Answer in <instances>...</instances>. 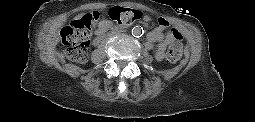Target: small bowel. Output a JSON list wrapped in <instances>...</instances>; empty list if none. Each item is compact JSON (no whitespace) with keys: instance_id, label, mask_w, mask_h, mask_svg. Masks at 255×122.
I'll use <instances>...</instances> for the list:
<instances>
[{"instance_id":"obj_1","label":"small bowel","mask_w":255,"mask_h":122,"mask_svg":"<svg viewBox=\"0 0 255 122\" xmlns=\"http://www.w3.org/2000/svg\"><path fill=\"white\" fill-rule=\"evenodd\" d=\"M150 20L151 19L149 17H146L145 19L146 22H149ZM162 22L166 23V26H163ZM167 27L168 22L165 19L160 18L158 21V26L150 31L147 35V40L145 43L146 50H153L154 44L158 43L157 48L154 49V56L157 60H162L164 58L167 46L175 41V37L171 31L165 33Z\"/></svg>"}]
</instances>
